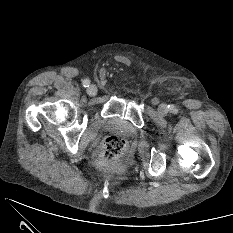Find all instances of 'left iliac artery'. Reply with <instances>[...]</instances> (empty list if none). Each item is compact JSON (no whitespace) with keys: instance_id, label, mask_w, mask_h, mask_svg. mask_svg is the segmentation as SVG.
I'll use <instances>...</instances> for the list:
<instances>
[{"instance_id":"obj_1","label":"left iliac artery","mask_w":233,"mask_h":233,"mask_svg":"<svg viewBox=\"0 0 233 233\" xmlns=\"http://www.w3.org/2000/svg\"><path fill=\"white\" fill-rule=\"evenodd\" d=\"M168 108H169V106H168ZM170 110L174 112L176 109H175V107L172 105V106H170Z\"/></svg>"}]
</instances>
